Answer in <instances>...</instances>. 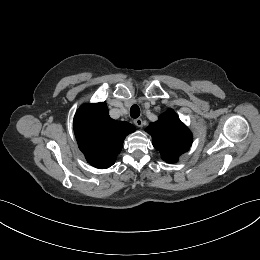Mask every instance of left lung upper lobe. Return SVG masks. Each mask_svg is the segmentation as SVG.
I'll return each mask as SVG.
<instances>
[{
    "instance_id": "left-lung-upper-lobe-1",
    "label": "left lung upper lobe",
    "mask_w": 260,
    "mask_h": 260,
    "mask_svg": "<svg viewBox=\"0 0 260 260\" xmlns=\"http://www.w3.org/2000/svg\"><path fill=\"white\" fill-rule=\"evenodd\" d=\"M145 130L152 136L153 146L167 163L177 162L179 156L189 150L193 141L192 133L173 109L166 110Z\"/></svg>"
}]
</instances>
